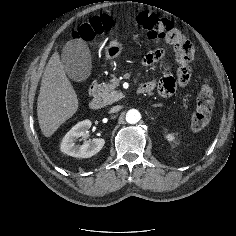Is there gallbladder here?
<instances>
[{
  "label": "gallbladder",
  "mask_w": 236,
  "mask_h": 236,
  "mask_svg": "<svg viewBox=\"0 0 236 236\" xmlns=\"http://www.w3.org/2000/svg\"><path fill=\"white\" fill-rule=\"evenodd\" d=\"M64 69L70 79L85 81L91 73V54L87 44L71 40L65 44L61 54Z\"/></svg>",
  "instance_id": "gallbladder-1"
}]
</instances>
